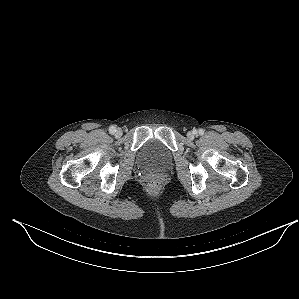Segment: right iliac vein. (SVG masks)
Segmentation results:
<instances>
[{
	"mask_svg": "<svg viewBox=\"0 0 299 299\" xmlns=\"http://www.w3.org/2000/svg\"><path fill=\"white\" fill-rule=\"evenodd\" d=\"M121 135H122V130H121V129H117V130L115 131V136H116V137H121Z\"/></svg>",
	"mask_w": 299,
	"mask_h": 299,
	"instance_id": "right-iliac-vein-1",
	"label": "right iliac vein"
}]
</instances>
